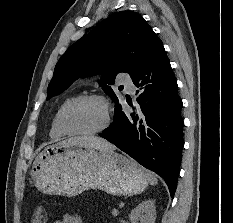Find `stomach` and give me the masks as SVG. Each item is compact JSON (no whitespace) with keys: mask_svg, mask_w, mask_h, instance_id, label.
Segmentation results:
<instances>
[{"mask_svg":"<svg viewBox=\"0 0 233 223\" xmlns=\"http://www.w3.org/2000/svg\"><path fill=\"white\" fill-rule=\"evenodd\" d=\"M30 175L41 193L65 197H75L86 189L136 195L149 183L146 171L130 157L67 141L46 145L36 155Z\"/></svg>","mask_w":233,"mask_h":223,"instance_id":"0dacf381","label":"stomach"}]
</instances>
